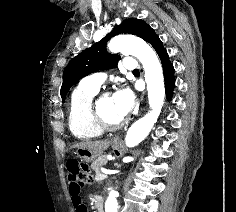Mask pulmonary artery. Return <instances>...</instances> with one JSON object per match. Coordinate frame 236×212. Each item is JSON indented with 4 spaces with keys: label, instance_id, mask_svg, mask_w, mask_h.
Segmentation results:
<instances>
[{
    "label": "pulmonary artery",
    "instance_id": "obj_1",
    "mask_svg": "<svg viewBox=\"0 0 236 212\" xmlns=\"http://www.w3.org/2000/svg\"><path fill=\"white\" fill-rule=\"evenodd\" d=\"M124 67L126 70L133 71L138 67V63L135 59H125ZM105 81V75L102 73H95L87 76L82 80V83L88 87L99 88Z\"/></svg>",
    "mask_w": 236,
    "mask_h": 212
}]
</instances>
